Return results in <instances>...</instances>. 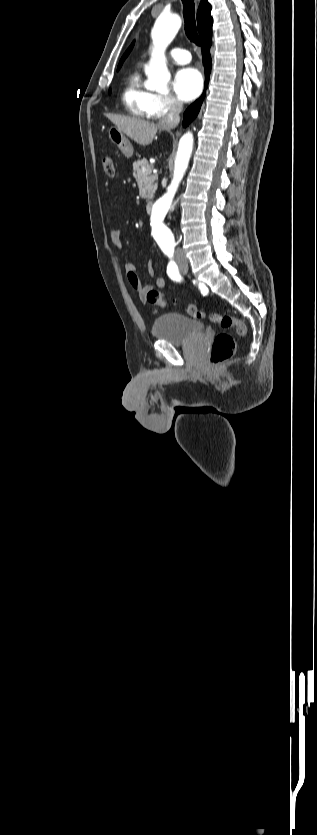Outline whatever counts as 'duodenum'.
I'll return each mask as SVG.
<instances>
[{
  "instance_id": "1",
  "label": "duodenum",
  "mask_w": 317,
  "mask_h": 835,
  "mask_svg": "<svg viewBox=\"0 0 317 835\" xmlns=\"http://www.w3.org/2000/svg\"><path fill=\"white\" fill-rule=\"evenodd\" d=\"M152 207H153V202H152V201H148V202L146 203V206H145L146 211H147L148 213H150V212L152 211Z\"/></svg>"
}]
</instances>
